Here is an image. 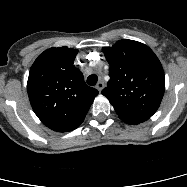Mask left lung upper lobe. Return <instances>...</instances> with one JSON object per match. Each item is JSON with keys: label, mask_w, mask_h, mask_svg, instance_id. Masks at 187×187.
Returning a JSON list of instances; mask_svg holds the SVG:
<instances>
[{"label": "left lung upper lobe", "mask_w": 187, "mask_h": 187, "mask_svg": "<svg viewBox=\"0 0 187 187\" xmlns=\"http://www.w3.org/2000/svg\"><path fill=\"white\" fill-rule=\"evenodd\" d=\"M102 51L110 64V80L102 94L125 123L148 120L159 108L165 90L159 59L145 44L127 39Z\"/></svg>", "instance_id": "obj_1"}]
</instances>
